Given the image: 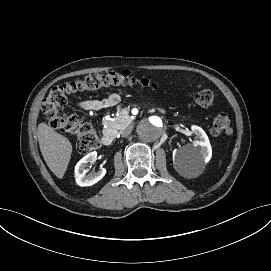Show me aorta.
<instances>
[{
	"instance_id": "1",
	"label": "aorta",
	"mask_w": 271,
	"mask_h": 271,
	"mask_svg": "<svg viewBox=\"0 0 271 271\" xmlns=\"http://www.w3.org/2000/svg\"><path fill=\"white\" fill-rule=\"evenodd\" d=\"M165 122L158 116L143 119L137 126V134L144 142H153L159 139L164 131Z\"/></svg>"
}]
</instances>
